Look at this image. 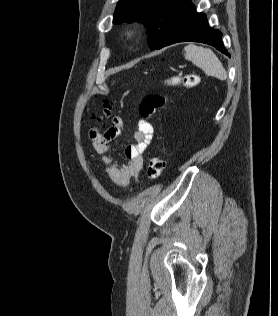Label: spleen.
<instances>
[{"mask_svg": "<svg viewBox=\"0 0 278 316\" xmlns=\"http://www.w3.org/2000/svg\"><path fill=\"white\" fill-rule=\"evenodd\" d=\"M184 52L185 59L202 68L207 75L215 76L221 80L227 79L226 70L211 49L188 45L184 48Z\"/></svg>", "mask_w": 278, "mask_h": 316, "instance_id": "3e777b00", "label": "spleen"}]
</instances>
